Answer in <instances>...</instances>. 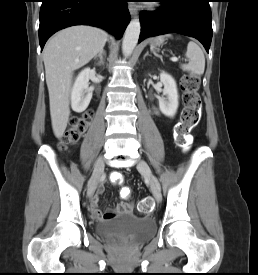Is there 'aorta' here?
<instances>
[{"label":"aorta","instance_id":"obj_1","mask_svg":"<svg viewBox=\"0 0 258 275\" xmlns=\"http://www.w3.org/2000/svg\"><path fill=\"white\" fill-rule=\"evenodd\" d=\"M141 24L139 19L131 20L124 34L122 42V51L124 56H130L138 42Z\"/></svg>","mask_w":258,"mask_h":275}]
</instances>
